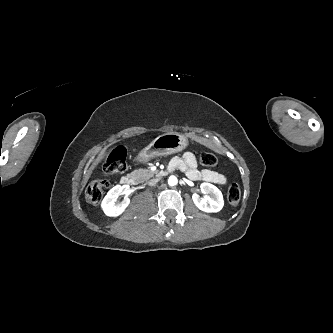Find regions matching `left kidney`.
<instances>
[{
	"mask_svg": "<svg viewBox=\"0 0 333 333\" xmlns=\"http://www.w3.org/2000/svg\"><path fill=\"white\" fill-rule=\"evenodd\" d=\"M200 189L203 194H206L204 197H200L198 194H193L192 196L194 204L200 210L212 213L218 212L223 208V195L216 186L204 182L200 185Z\"/></svg>",
	"mask_w": 333,
	"mask_h": 333,
	"instance_id": "obj_1",
	"label": "left kidney"
}]
</instances>
